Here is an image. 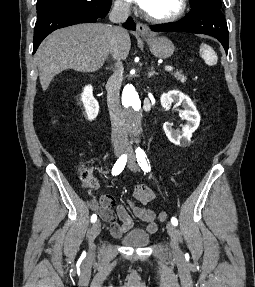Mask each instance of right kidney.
<instances>
[{
	"label": "right kidney",
	"mask_w": 255,
	"mask_h": 287,
	"mask_svg": "<svg viewBox=\"0 0 255 287\" xmlns=\"http://www.w3.org/2000/svg\"><path fill=\"white\" fill-rule=\"evenodd\" d=\"M81 102H83L88 120H95L99 112V104L93 98L92 86H85L83 94H81Z\"/></svg>",
	"instance_id": "right-kidney-1"
}]
</instances>
